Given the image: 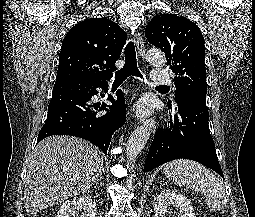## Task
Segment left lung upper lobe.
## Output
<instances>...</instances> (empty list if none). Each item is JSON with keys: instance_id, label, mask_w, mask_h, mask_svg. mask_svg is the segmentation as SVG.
<instances>
[{"instance_id": "1", "label": "left lung upper lobe", "mask_w": 255, "mask_h": 217, "mask_svg": "<svg viewBox=\"0 0 255 217\" xmlns=\"http://www.w3.org/2000/svg\"><path fill=\"white\" fill-rule=\"evenodd\" d=\"M145 36L166 54L167 65L176 75V105L187 99L206 104L205 46L199 27L185 17L160 14L149 22Z\"/></svg>"}]
</instances>
